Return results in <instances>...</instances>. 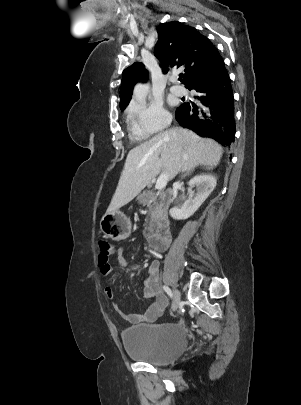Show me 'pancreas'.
Segmentation results:
<instances>
[{
	"mask_svg": "<svg viewBox=\"0 0 301 405\" xmlns=\"http://www.w3.org/2000/svg\"><path fill=\"white\" fill-rule=\"evenodd\" d=\"M138 199L140 203L143 204V206H147L148 208L149 221L146 220L144 224L145 226L144 235H147L154 229L155 222L157 220L158 213L160 211V206L159 203L157 202L155 194L151 191H144L142 194H140Z\"/></svg>",
	"mask_w": 301,
	"mask_h": 405,
	"instance_id": "obj_1",
	"label": "pancreas"
}]
</instances>
